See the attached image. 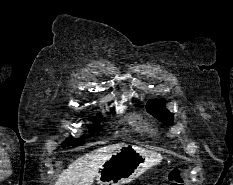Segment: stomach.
<instances>
[{"instance_id":"0dacf381","label":"stomach","mask_w":233,"mask_h":185,"mask_svg":"<svg viewBox=\"0 0 233 185\" xmlns=\"http://www.w3.org/2000/svg\"><path fill=\"white\" fill-rule=\"evenodd\" d=\"M161 160L160 154L154 151L126 145L102 164L96 180L100 185H124L159 164Z\"/></svg>"}]
</instances>
